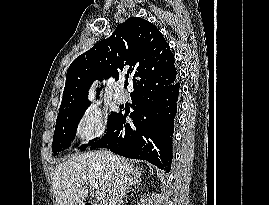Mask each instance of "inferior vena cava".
Masks as SVG:
<instances>
[{"mask_svg": "<svg viewBox=\"0 0 269 205\" xmlns=\"http://www.w3.org/2000/svg\"><path fill=\"white\" fill-rule=\"evenodd\" d=\"M104 153L106 154L107 158L112 161L113 167L115 169L113 184L107 196L105 205H120V203H123L128 179L119 160L115 159L107 150H105Z\"/></svg>", "mask_w": 269, "mask_h": 205, "instance_id": "1", "label": "inferior vena cava"}]
</instances>
